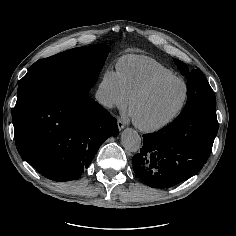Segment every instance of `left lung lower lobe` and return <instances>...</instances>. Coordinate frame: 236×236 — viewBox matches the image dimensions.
Masks as SVG:
<instances>
[{"instance_id": "obj_1", "label": "left lung lower lobe", "mask_w": 236, "mask_h": 236, "mask_svg": "<svg viewBox=\"0 0 236 236\" xmlns=\"http://www.w3.org/2000/svg\"><path fill=\"white\" fill-rule=\"evenodd\" d=\"M217 131L216 110L182 111L167 127L143 135V147L132 159L135 174L154 188H169L194 176L206 163Z\"/></svg>"}]
</instances>
